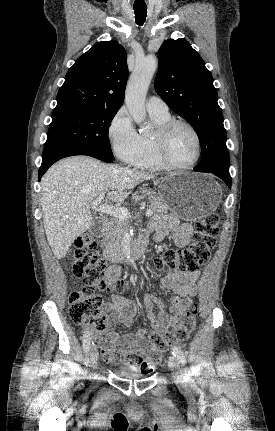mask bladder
Here are the masks:
<instances>
[{
	"mask_svg": "<svg viewBox=\"0 0 275 431\" xmlns=\"http://www.w3.org/2000/svg\"><path fill=\"white\" fill-rule=\"evenodd\" d=\"M116 371L120 374L123 375H131L134 377H143L146 376L147 373L145 372H136L133 371L130 367L126 366V365H122V366H116Z\"/></svg>",
	"mask_w": 275,
	"mask_h": 431,
	"instance_id": "31cf9c89",
	"label": "bladder"
}]
</instances>
